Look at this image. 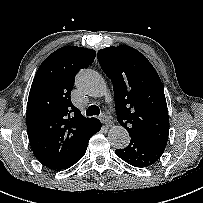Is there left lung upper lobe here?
<instances>
[{
  "mask_svg": "<svg viewBox=\"0 0 203 203\" xmlns=\"http://www.w3.org/2000/svg\"><path fill=\"white\" fill-rule=\"evenodd\" d=\"M98 61L114 89L117 120L130 136L166 147L169 117L162 82L136 49L119 45L98 51Z\"/></svg>",
  "mask_w": 203,
  "mask_h": 203,
  "instance_id": "obj_1",
  "label": "left lung upper lobe"
}]
</instances>
